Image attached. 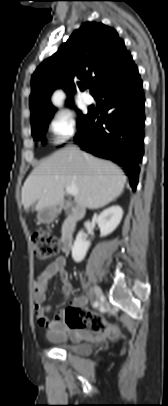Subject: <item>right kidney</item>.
<instances>
[{
    "label": "right kidney",
    "instance_id": "1",
    "mask_svg": "<svg viewBox=\"0 0 168 406\" xmlns=\"http://www.w3.org/2000/svg\"><path fill=\"white\" fill-rule=\"evenodd\" d=\"M123 217V210L115 205L107 208L97 217L96 222L100 228L101 236H107L112 233L120 224ZM90 247V241L84 237L83 231H80L72 247V258L75 262H81Z\"/></svg>",
    "mask_w": 168,
    "mask_h": 406
}]
</instances>
